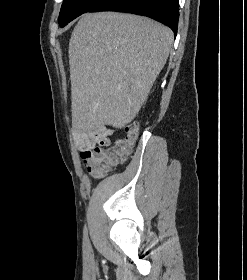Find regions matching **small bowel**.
I'll return each instance as SVG.
<instances>
[{
    "label": "small bowel",
    "mask_w": 247,
    "mask_h": 280,
    "mask_svg": "<svg viewBox=\"0 0 247 280\" xmlns=\"http://www.w3.org/2000/svg\"><path fill=\"white\" fill-rule=\"evenodd\" d=\"M116 130L107 126L93 129L76 127L74 130L75 142L82 158L96 147H105L110 143V137Z\"/></svg>",
    "instance_id": "c3829d8e"
}]
</instances>
